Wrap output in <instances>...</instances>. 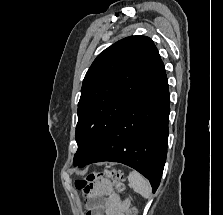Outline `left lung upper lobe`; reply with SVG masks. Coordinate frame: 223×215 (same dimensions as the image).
I'll list each match as a JSON object with an SVG mask.
<instances>
[{"instance_id": "left-lung-upper-lobe-1", "label": "left lung upper lobe", "mask_w": 223, "mask_h": 215, "mask_svg": "<svg viewBox=\"0 0 223 215\" xmlns=\"http://www.w3.org/2000/svg\"><path fill=\"white\" fill-rule=\"evenodd\" d=\"M162 66L156 46L145 36L121 39L97 56L84 77L78 103L75 166L91 159Z\"/></svg>"}]
</instances>
